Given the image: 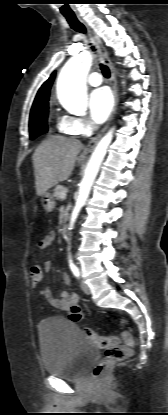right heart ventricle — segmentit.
Returning a JSON list of instances; mask_svg holds the SVG:
<instances>
[{"mask_svg":"<svg viewBox=\"0 0 168 415\" xmlns=\"http://www.w3.org/2000/svg\"><path fill=\"white\" fill-rule=\"evenodd\" d=\"M57 130L64 135H74L69 129L66 117L59 118L56 125Z\"/></svg>","mask_w":168,"mask_h":415,"instance_id":"right-heart-ventricle-1","label":"right heart ventricle"}]
</instances>
